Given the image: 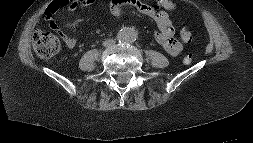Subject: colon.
Segmentation results:
<instances>
[{
  "instance_id": "obj_1",
  "label": "colon",
  "mask_w": 253,
  "mask_h": 143,
  "mask_svg": "<svg viewBox=\"0 0 253 143\" xmlns=\"http://www.w3.org/2000/svg\"><path fill=\"white\" fill-rule=\"evenodd\" d=\"M92 1L93 0H54L50 3L47 10L55 14L60 8H76ZM179 32L183 40L189 41L191 39V32L186 23H181ZM32 42L35 52L42 58L53 57L60 50L58 38L49 31H36L33 35ZM192 61L193 57L191 54H187L183 57V63L186 65L191 64Z\"/></svg>"
}]
</instances>
